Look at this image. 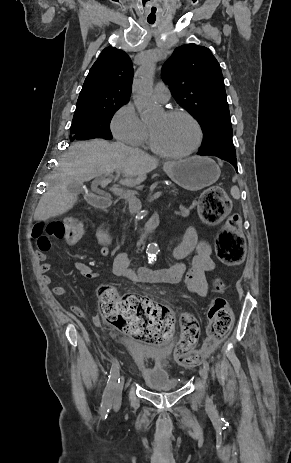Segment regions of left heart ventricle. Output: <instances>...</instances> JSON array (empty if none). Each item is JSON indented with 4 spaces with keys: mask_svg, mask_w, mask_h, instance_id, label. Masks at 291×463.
<instances>
[{
    "mask_svg": "<svg viewBox=\"0 0 291 463\" xmlns=\"http://www.w3.org/2000/svg\"><path fill=\"white\" fill-rule=\"evenodd\" d=\"M155 145L166 152L177 153L189 149L196 140L194 125L185 117L160 115L149 124Z\"/></svg>",
    "mask_w": 291,
    "mask_h": 463,
    "instance_id": "obj_1",
    "label": "left heart ventricle"
}]
</instances>
